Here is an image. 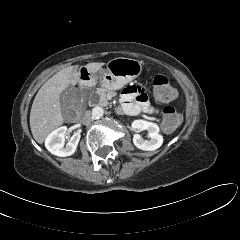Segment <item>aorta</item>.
I'll return each mask as SVG.
<instances>
[{"label": "aorta", "mask_w": 240, "mask_h": 240, "mask_svg": "<svg viewBox=\"0 0 240 240\" xmlns=\"http://www.w3.org/2000/svg\"><path fill=\"white\" fill-rule=\"evenodd\" d=\"M103 113H104L103 109L99 106H96L92 109V117L94 119L101 118L103 116Z\"/></svg>", "instance_id": "762f6f07"}]
</instances>
